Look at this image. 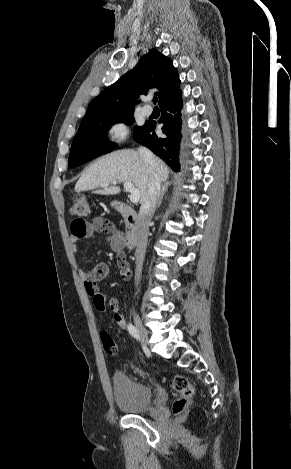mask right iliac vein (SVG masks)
I'll use <instances>...</instances> for the list:
<instances>
[{
    "mask_svg": "<svg viewBox=\"0 0 291 469\" xmlns=\"http://www.w3.org/2000/svg\"><path fill=\"white\" fill-rule=\"evenodd\" d=\"M134 322H135L136 328L138 330V333H139V336H140L142 342L147 346L148 345V334H147L146 329L143 327L139 316L136 313L134 314Z\"/></svg>",
    "mask_w": 291,
    "mask_h": 469,
    "instance_id": "63e3f726",
    "label": "right iliac vein"
}]
</instances>
